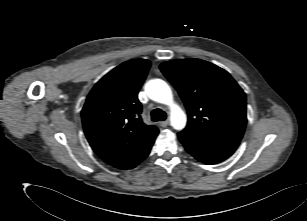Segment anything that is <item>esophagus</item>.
<instances>
[{
	"instance_id": "1",
	"label": "esophagus",
	"mask_w": 307,
	"mask_h": 221,
	"mask_svg": "<svg viewBox=\"0 0 307 221\" xmlns=\"http://www.w3.org/2000/svg\"><path fill=\"white\" fill-rule=\"evenodd\" d=\"M159 124L161 127L165 128L169 125V120L161 121Z\"/></svg>"
}]
</instances>
